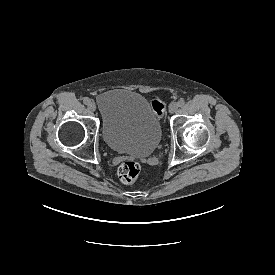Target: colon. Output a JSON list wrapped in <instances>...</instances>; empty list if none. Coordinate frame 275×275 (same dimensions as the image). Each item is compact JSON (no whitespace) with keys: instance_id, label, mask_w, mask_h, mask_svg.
Segmentation results:
<instances>
[{"instance_id":"1","label":"colon","mask_w":275,"mask_h":275,"mask_svg":"<svg viewBox=\"0 0 275 275\" xmlns=\"http://www.w3.org/2000/svg\"><path fill=\"white\" fill-rule=\"evenodd\" d=\"M150 106L154 109L158 117L162 116L165 111V104L158 99H154L150 102ZM141 172V166L136 161H125L118 169V175L120 180L125 184L134 183Z\"/></svg>"}]
</instances>
